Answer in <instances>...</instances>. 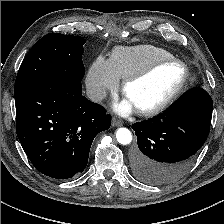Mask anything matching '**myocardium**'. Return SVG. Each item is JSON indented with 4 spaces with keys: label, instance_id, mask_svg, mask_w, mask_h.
I'll return each instance as SVG.
<instances>
[{
    "label": "myocardium",
    "instance_id": "1",
    "mask_svg": "<svg viewBox=\"0 0 224 224\" xmlns=\"http://www.w3.org/2000/svg\"><path fill=\"white\" fill-rule=\"evenodd\" d=\"M171 63H177V64L181 65V67L183 68V77H182L180 83L174 89V91L166 99H164L162 102L158 103L157 105H155L151 108L137 109L136 111L139 115L147 116V117L148 116H155V115L165 111L166 109H168L179 98V96L183 93V91H184V89L187 85V82L190 78L189 69H188L187 65L182 60H180L178 58H175V57L162 58V59H158V60L153 61L152 63H150L145 68L141 69L138 72H135V73L129 75L128 77H126L124 79L123 84H122V92L126 96L128 87L131 84L148 77L151 73H153L159 67H161L163 65H166V64H171Z\"/></svg>",
    "mask_w": 224,
    "mask_h": 224
}]
</instances>
